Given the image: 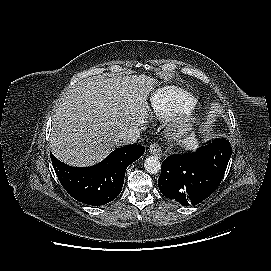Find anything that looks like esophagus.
I'll list each match as a JSON object with an SVG mask.
<instances>
[{
	"instance_id": "obj_1",
	"label": "esophagus",
	"mask_w": 271,
	"mask_h": 271,
	"mask_svg": "<svg viewBox=\"0 0 271 271\" xmlns=\"http://www.w3.org/2000/svg\"><path fill=\"white\" fill-rule=\"evenodd\" d=\"M150 152L158 158L163 156L162 149L157 143H152L150 145Z\"/></svg>"
}]
</instances>
